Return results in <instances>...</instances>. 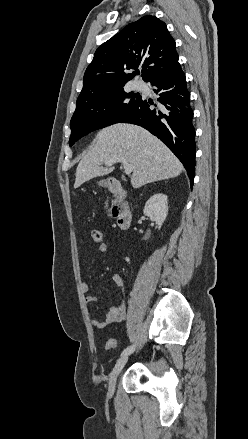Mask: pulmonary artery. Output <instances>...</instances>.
<instances>
[{
    "instance_id": "1",
    "label": "pulmonary artery",
    "mask_w": 248,
    "mask_h": 439,
    "mask_svg": "<svg viewBox=\"0 0 248 439\" xmlns=\"http://www.w3.org/2000/svg\"><path fill=\"white\" fill-rule=\"evenodd\" d=\"M133 88L136 89V90L141 89V88H142V84H141V82H139V81H134V82H133Z\"/></svg>"
}]
</instances>
